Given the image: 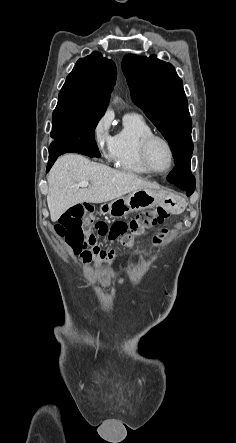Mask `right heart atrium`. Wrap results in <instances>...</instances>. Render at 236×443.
Here are the masks:
<instances>
[{
    "mask_svg": "<svg viewBox=\"0 0 236 443\" xmlns=\"http://www.w3.org/2000/svg\"><path fill=\"white\" fill-rule=\"evenodd\" d=\"M112 120V113L104 112L96 120L91 133L96 149L107 160H112L114 154V136L110 133Z\"/></svg>",
    "mask_w": 236,
    "mask_h": 443,
    "instance_id": "right-heart-atrium-1",
    "label": "right heart atrium"
}]
</instances>
